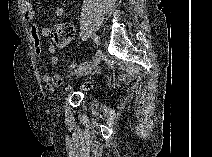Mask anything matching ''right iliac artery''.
Instances as JSON below:
<instances>
[{
	"mask_svg": "<svg viewBox=\"0 0 212 157\" xmlns=\"http://www.w3.org/2000/svg\"><path fill=\"white\" fill-rule=\"evenodd\" d=\"M91 39L98 45L99 44V38H98V36H95V35H93V36H91ZM82 66L81 67H79L78 69H76L75 70V72H79L80 70H82Z\"/></svg>",
	"mask_w": 212,
	"mask_h": 157,
	"instance_id": "1",
	"label": "right iliac artery"
}]
</instances>
